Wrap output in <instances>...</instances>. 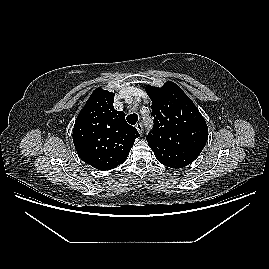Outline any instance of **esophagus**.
Returning a JSON list of instances; mask_svg holds the SVG:
<instances>
[{
	"mask_svg": "<svg viewBox=\"0 0 269 269\" xmlns=\"http://www.w3.org/2000/svg\"><path fill=\"white\" fill-rule=\"evenodd\" d=\"M135 128L138 130V132H139L140 135L143 134V124L142 123H137L135 125Z\"/></svg>",
	"mask_w": 269,
	"mask_h": 269,
	"instance_id": "obj_1",
	"label": "esophagus"
}]
</instances>
